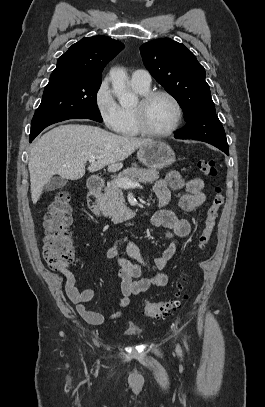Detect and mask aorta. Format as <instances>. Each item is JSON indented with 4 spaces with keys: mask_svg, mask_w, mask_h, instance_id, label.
Instances as JSON below:
<instances>
[{
    "mask_svg": "<svg viewBox=\"0 0 265 407\" xmlns=\"http://www.w3.org/2000/svg\"><path fill=\"white\" fill-rule=\"evenodd\" d=\"M113 93L121 106H131L137 101L136 96L127 89L128 77L124 69L114 68L110 71Z\"/></svg>",
    "mask_w": 265,
    "mask_h": 407,
    "instance_id": "aorta-1",
    "label": "aorta"
}]
</instances>
